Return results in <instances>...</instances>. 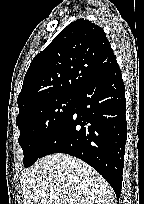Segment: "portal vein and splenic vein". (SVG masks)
Segmentation results:
<instances>
[{"label": "portal vein and splenic vein", "instance_id": "18ae733b", "mask_svg": "<svg viewBox=\"0 0 144 204\" xmlns=\"http://www.w3.org/2000/svg\"><path fill=\"white\" fill-rule=\"evenodd\" d=\"M54 195V193L53 192H50V196H53Z\"/></svg>", "mask_w": 144, "mask_h": 204}]
</instances>
